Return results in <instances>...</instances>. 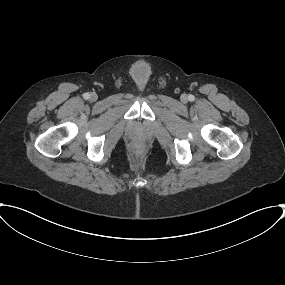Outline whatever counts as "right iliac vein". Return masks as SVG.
Listing matches in <instances>:
<instances>
[{
  "instance_id": "1",
  "label": "right iliac vein",
  "mask_w": 285,
  "mask_h": 285,
  "mask_svg": "<svg viewBox=\"0 0 285 285\" xmlns=\"http://www.w3.org/2000/svg\"><path fill=\"white\" fill-rule=\"evenodd\" d=\"M90 98L92 101H95L97 100V95L95 93H92Z\"/></svg>"
}]
</instances>
